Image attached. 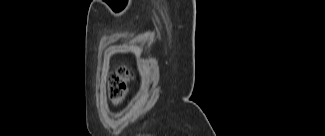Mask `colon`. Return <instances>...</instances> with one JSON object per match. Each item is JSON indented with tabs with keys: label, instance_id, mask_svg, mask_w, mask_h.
I'll return each mask as SVG.
<instances>
[{
	"label": "colon",
	"instance_id": "1",
	"mask_svg": "<svg viewBox=\"0 0 325 136\" xmlns=\"http://www.w3.org/2000/svg\"><path fill=\"white\" fill-rule=\"evenodd\" d=\"M129 71L126 68H119L112 73L108 79V92L114 104L119 105L128 90Z\"/></svg>",
	"mask_w": 325,
	"mask_h": 136
}]
</instances>
